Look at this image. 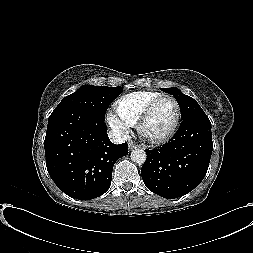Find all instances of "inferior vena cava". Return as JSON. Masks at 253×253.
<instances>
[{
  "label": "inferior vena cava",
  "instance_id": "1",
  "mask_svg": "<svg viewBox=\"0 0 253 253\" xmlns=\"http://www.w3.org/2000/svg\"><path fill=\"white\" fill-rule=\"evenodd\" d=\"M108 136L114 144H122L127 141V137L125 135H122L120 132L115 130L109 131Z\"/></svg>",
  "mask_w": 253,
  "mask_h": 253
}]
</instances>
